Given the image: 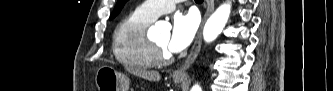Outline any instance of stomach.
Returning a JSON list of instances; mask_svg holds the SVG:
<instances>
[{"label": "stomach", "mask_w": 333, "mask_h": 91, "mask_svg": "<svg viewBox=\"0 0 333 91\" xmlns=\"http://www.w3.org/2000/svg\"><path fill=\"white\" fill-rule=\"evenodd\" d=\"M175 83H181L183 78H173ZM98 91H129L130 80L111 66H101L95 76Z\"/></svg>", "instance_id": "stomach-1"}]
</instances>
